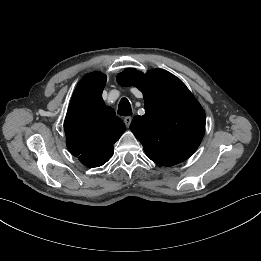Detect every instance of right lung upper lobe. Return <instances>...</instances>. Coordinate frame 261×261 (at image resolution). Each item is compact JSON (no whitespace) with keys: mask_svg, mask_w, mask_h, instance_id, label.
Here are the masks:
<instances>
[{"mask_svg":"<svg viewBox=\"0 0 261 261\" xmlns=\"http://www.w3.org/2000/svg\"><path fill=\"white\" fill-rule=\"evenodd\" d=\"M105 83L106 75L87 74L73 94L64 122L69 151L88 167L105 164L125 131L124 123L102 99Z\"/></svg>","mask_w":261,"mask_h":261,"instance_id":"right-lung-upper-lobe-1","label":"right lung upper lobe"}]
</instances>
